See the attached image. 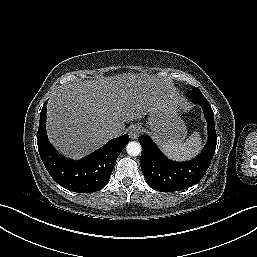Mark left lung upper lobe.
I'll list each match as a JSON object with an SVG mask.
<instances>
[{"mask_svg": "<svg viewBox=\"0 0 257 257\" xmlns=\"http://www.w3.org/2000/svg\"><path fill=\"white\" fill-rule=\"evenodd\" d=\"M188 97L192 101L200 100V99H206L204 95L201 93L200 89L196 88L188 92Z\"/></svg>", "mask_w": 257, "mask_h": 257, "instance_id": "obj_1", "label": "left lung upper lobe"}]
</instances>
